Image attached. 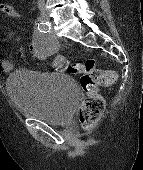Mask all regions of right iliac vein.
Listing matches in <instances>:
<instances>
[{"instance_id": "obj_1", "label": "right iliac vein", "mask_w": 143, "mask_h": 170, "mask_svg": "<svg viewBox=\"0 0 143 170\" xmlns=\"http://www.w3.org/2000/svg\"><path fill=\"white\" fill-rule=\"evenodd\" d=\"M44 19H45V20H48V17H47V15H46V14L44 15Z\"/></svg>"}]
</instances>
